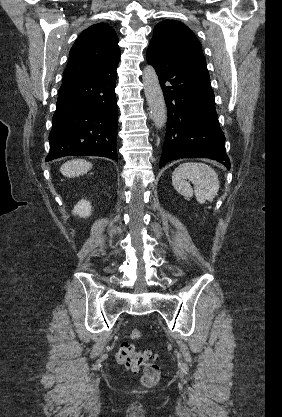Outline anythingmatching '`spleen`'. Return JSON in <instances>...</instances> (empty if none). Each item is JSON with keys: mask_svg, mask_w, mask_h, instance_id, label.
<instances>
[{"mask_svg": "<svg viewBox=\"0 0 282 417\" xmlns=\"http://www.w3.org/2000/svg\"><path fill=\"white\" fill-rule=\"evenodd\" d=\"M194 184V190L188 182ZM174 188L183 194L185 198H191L193 192L199 202L204 204L206 200H213L219 190V178L216 170L205 162H183L175 168L172 174Z\"/></svg>", "mask_w": 282, "mask_h": 417, "instance_id": "3e777b00", "label": "spleen"}]
</instances>
